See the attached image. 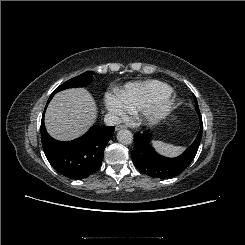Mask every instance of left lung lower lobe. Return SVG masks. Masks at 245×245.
<instances>
[{"label": "left lung lower lobe", "mask_w": 245, "mask_h": 245, "mask_svg": "<svg viewBox=\"0 0 245 245\" xmlns=\"http://www.w3.org/2000/svg\"><path fill=\"white\" fill-rule=\"evenodd\" d=\"M148 131L136 133L135 146L131 152L134 165L142 173L156 178H171L183 172L195 157L202 137V125L199 133L185 152L176 158H167L159 155L148 140Z\"/></svg>", "instance_id": "obj_1"}]
</instances>
